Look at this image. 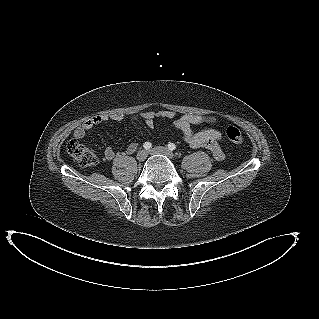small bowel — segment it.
I'll list each match as a JSON object with an SVG mask.
<instances>
[{"instance_id": "small-bowel-1", "label": "small bowel", "mask_w": 319, "mask_h": 319, "mask_svg": "<svg viewBox=\"0 0 319 319\" xmlns=\"http://www.w3.org/2000/svg\"><path fill=\"white\" fill-rule=\"evenodd\" d=\"M143 119L147 127L153 128L156 119L166 118L175 119L174 127L181 134L182 139L192 148H206L212 152L215 158L221 160L224 158V152L220 146V141L222 135L220 131L216 129H205L199 132H194L192 130L193 126L200 125L206 122H213L214 118L212 116H204L198 114H186L178 115L177 112L171 110H160V111H144L138 115L130 116V119L135 121L137 119ZM123 119L122 114L113 115H97L77 127L74 131V137L76 139H82L85 137L87 132H89L93 127L107 122L121 121ZM137 144L131 142L127 145L124 153L130 155L136 151ZM116 152L112 147H107L103 153V159L105 161H111L115 158Z\"/></svg>"}]
</instances>
